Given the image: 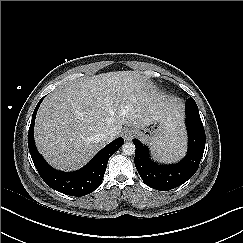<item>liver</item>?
I'll list each match as a JSON object with an SVG mask.
<instances>
[{
  "label": "liver",
  "instance_id": "obj_1",
  "mask_svg": "<svg viewBox=\"0 0 243 243\" xmlns=\"http://www.w3.org/2000/svg\"><path fill=\"white\" fill-rule=\"evenodd\" d=\"M165 122L169 137L183 134L181 105L164 101L138 71H115L59 86L42 102L35 142L47 162L59 170H77L108 141L102 136L122 125L144 129Z\"/></svg>",
  "mask_w": 243,
  "mask_h": 243
}]
</instances>
